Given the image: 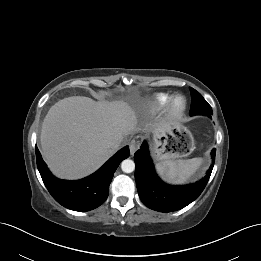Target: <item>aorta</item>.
<instances>
[{
    "instance_id": "762f6f07",
    "label": "aorta",
    "mask_w": 261,
    "mask_h": 261,
    "mask_svg": "<svg viewBox=\"0 0 261 261\" xmlns=\"http://www.w3.org/2000/svg\"><path fill=\"white\" fill-rule=\"evenodd\" d=\"M121 169L123 172L125 173H131L134 171L135 169V163L134 161L130 160V159H125L122 161L121 163Z\"/></svg>"
}]
</instances>
